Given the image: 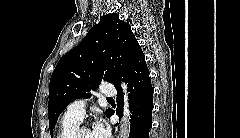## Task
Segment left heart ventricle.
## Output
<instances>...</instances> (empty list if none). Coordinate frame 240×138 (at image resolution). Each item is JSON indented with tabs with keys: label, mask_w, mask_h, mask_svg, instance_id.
I'll use <instances>...</instances> for the list:
<instances>
[{
	"label": "left heart ventricle",
	"mask_w": 240,
	"mask_h": 138,
	"mask_svg": "<svg viewBox=\"0 0 240 138\" xmlns=\"http://www.w3.org/2000/svg\"><path fill=\"white\" fill-rule=\"evenodd\" d=\"M81 138H95L93 132L90 129H87L82 132Z\"/></svg>",
	"instance_id": "obj_1"
}]
</instances>
